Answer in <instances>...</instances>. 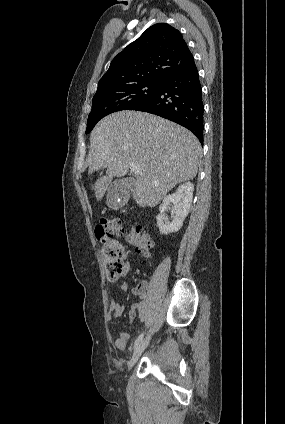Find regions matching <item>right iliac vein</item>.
I'll use <instances>...</instances> for the list:
<instances>
[{"label": "right iliac vein", "instance_id": "obj_1", "mask_svg": "<svg viewBox=\"0 0 285 424\" xmlns=\"http://www.w3.org/2000/svg\"><path fill=\"white\" fill-rule=\"evenodd\" d=\"M149 343V337H147L144 341H142L134 350L133 355L129 361L128 367L129 369H132V367L134 366V364L138 361V359L140 358L142 352L144 351V349L146 348V346Z\"/></svg>", "mask_w": 285, "mask_h": 424}]
</instances>
